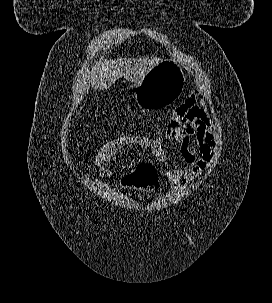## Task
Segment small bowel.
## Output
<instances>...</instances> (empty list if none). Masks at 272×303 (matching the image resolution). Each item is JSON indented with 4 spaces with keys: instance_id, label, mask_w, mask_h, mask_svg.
I'll use <instances>...</instances> for the list:
<instances>
[{
    "instance_id": "small-bowel-1",
    "label": "small bowel",
    "mask_w": 272,
    "mask_h": 303,
    "mask_svg": "<svg viewBox=\"0 0 272 303\" xmlns=\"http://www.w3.org/2000/svg\"><path fill=\"white\" fill-rule=\"evenodd\" d=\"M165 141H174L179 145V157L186 164V167H171L165 173L166 179L174 189L190 183L208 168L217 147L216 133L208 111L195 94L187 97L175 108L164 135L153 139L141 135H123L116 138V148L111 152L110 161L100 175L112 176L111 162L126 146H136L142 151H150L157 161L167 162ZM134 173L135 170L123 172L121 184L125 187H134Z\"/></svg>"
}]
</instances>
